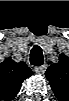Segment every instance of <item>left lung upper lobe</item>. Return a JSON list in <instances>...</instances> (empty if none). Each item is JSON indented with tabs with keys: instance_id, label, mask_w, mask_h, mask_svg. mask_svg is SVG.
I'll return each mask as SVG.
<instances>
[{
	"instance_id": "obj_1",
	"label": "left lung upper lobe",
	"mask_w": 69,
	"mask_h": 101,
	"mask_svg": "<svg viewBox=\"0 0 69 101\" xmlns=\"http://www.w3.org/2000/svg\"><path fill=\"white\" fill-rule=\"evenodd\" d=\"M45 76L53 92L58 96L59 92L69 84V58L61 54L59 62L50 65Z\"/></svg>"
}]
</instances>
